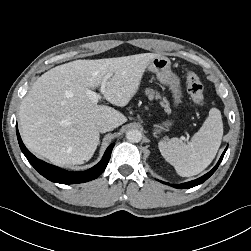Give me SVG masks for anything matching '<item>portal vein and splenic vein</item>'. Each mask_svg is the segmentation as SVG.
Instances as JSON below:
<instances>
[{
	"label": "portal vein and splenic vein",
	"mask_w": 251,
	"mask_h": 251,
	"mask_svg": "<svg viewBox=\"0 0 251 251\" xmlns=\"http://www.w3.org/2000/svg\"><path fill=\"white\" fill-rule=\"evenodd\" d=\"M107 78H108V77H106V78L104 79V81L102 82V84H101V92H104V90H105V83H106ZM86 94H87V96L89 97V99H90L93 103H95V104H97L98 101L101 99V95L98 94V93H96V92H94V91H92V90H87V91H86Z\"/></svg>",
	"instance_id": "portal-vein-and-splenic-vein-1"
}]
</instances>
